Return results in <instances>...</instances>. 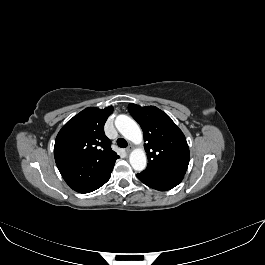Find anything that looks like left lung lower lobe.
<instances>
[{
	"instance_id": "obj_1",
	"label": "left lung lower lobe",
	"mask_w": 265,
	"mask_h": 265,
	"mask_svg": "<svg viewBox=\"0 0 265 265\" xmlns=\"http://www.w3.org/2000/svg\"><path fill=\"white\" fill-rule=\"evenodd\" d=\"M137 177L141 182L153 189L167 191L177 186L184 176L154 174L142 171L137 174Z\"/></svg>"
}]
</instances>
